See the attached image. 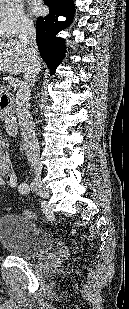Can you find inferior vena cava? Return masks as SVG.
<instances>
[{"label":"inferior vena cava","mask_w":129,"mask_h":309,"mask_svg":"<svg viewBox=\"0 0 129 309\" xmlns=\"http://www.w3.org/2000/svg\"><path fill=\"white\" fill-rule=\"evenodd\" d=\"M20 43L27 48V55L31 61V67L25 73L23 81L16 93L17 115L20 125L28 134L27 155L33 165H37L39 159V144L33 130L32 117L29 112V100L31 87L36 81L41 69V59L36 44V31L31 21H24L20 28Z\"/></svg>","instance_id":"obj_1"}]
</instances>
